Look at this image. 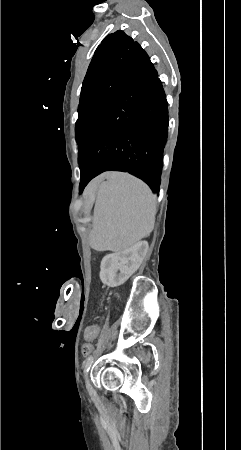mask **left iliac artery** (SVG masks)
<instances>
[{"label":"left iliac artery","instance_id":"left-iliac-artery-1","mask_svg":"<svg viewBox=\"0 0 241 450\" xmlns=\"http://www.w3.org/2000/svg\"><path fill=\"white\" fill-rule=\"evenodd\" d=\"M93 362V356H89L84 363V373L87 374Z\"/></svg>","mask_w":241,"mask_h":450}]
</instances>
